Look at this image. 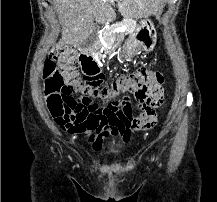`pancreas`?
I'll return each instance as SVG.
<instances>
[{
  "label": "pancreas",
  "instance_id": "1",
  "mask_svg": "<svg viewBox=\"0 0 217 202\" xmlns=\"http://www.w3.org/2000/svg\"><path fill=\"white\" fill-rule=\"evenodd\" d=\"M127 19V18H126ZM125 24V23H124ZM119 25H122V22H116V25H114L113 27H109V30H115V28H119ZM126 26H127V32L126 34H133L134 30H136L137 26L136 24H134V22H126ZM123 36H124V32H116V34H113L112 38H110V40H108L107 44H109V46H113V48H117V46H119V44H121L122 40H123Z\"/></svg>",
  "mask_w": 217,
  "mask_h": 202
}]
</instances>
